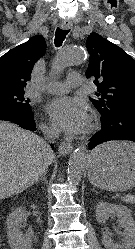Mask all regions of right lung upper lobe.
Wrapping results in <instances>:
<instances>
[{"label": "right lung upper lobe", "mask_w": 135, "mask_h": 249, "mask_svg": "<svg viewBox=\"0 0 135 249\" xmlns=\"http://www.w3.org/2000/svg\"><path fill=\"white\" fill-rule=\"evenodd\" d=\"M45 39L36 35L0 58V91H24L35 62L44 55Z\"/></svg>", "instance_id": "obj_1"}]
</instances>
